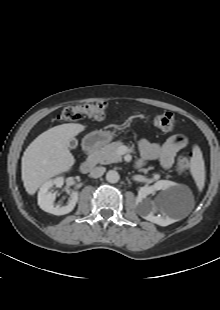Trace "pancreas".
I'll use <instances>...</instances> for the list:
<instances>
[{"label": "pancreas", "mask_w": 220, "mask_h": 310, "mask_svg": "<svg viewBox=\"0 0 220 310\" xmlns=\"http://www.w3.org/2000/svg\"><path fill=\"white\" fill-rule=\"evenodd\" d=\"M121 146H123L121 141L112 142L96 151L92 156L95 158L97 163L103 165L120 162L122 157L118 154V149Z\"/></svg>", "instance_id": "1"}]
</instances>
